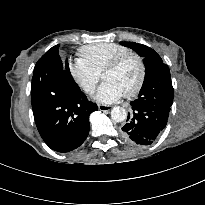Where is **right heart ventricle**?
I'll list each match as a JSON object with an SVG mask.
<instances>
[{
	"label": "right heart ventricle",
	"instance_id": "obj_1",
	"mask_svg": "<svg viewBox=\"0 0 205 205\" xmlns=\"http://www.w3.org/2000/svg\"><path fill=\"white\" fill-rule=\"evenodd\" d=\"M128 52L129 48L118 43H94L79 49L82 59L99 74L109 62Z\"/></svg>",
	"mask_w": 205,
	"mask_h": 205
}]
</instances>
